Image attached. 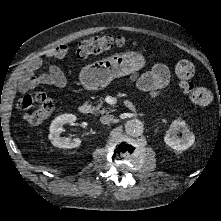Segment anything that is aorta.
I'll return each instance as SVG.
<instances>
[{"mask_svg": "<svg viewBox=\"0 0 221 221\" xmlns=\"http://www.w3.org/2000/svg\"><path fill=\"white\" fill-rule=\"evenodd\" d=\"M125 131L130 136L138 137L143 134L144 125L138 119H131L125 123Z\"/></svg>", "mask_w": 221, "mask_h": 221, "instance_id": "762f6f07", "label": "aorta"}]
</instances>
